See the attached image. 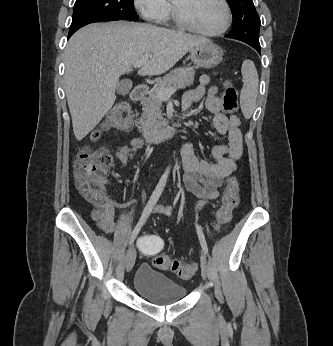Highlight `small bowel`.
<instances>
[{"label":"small bowel","instance_id":"c3829d8e","mask_svg":"<svg viewBox=\"0 0 333 346\" xmlns=\"http://www.w3.org/2000/svg\"><path fill=\"white\" fill-rule=\"evenodd\" d=\"M209 82L210 78L202 75L199 85L187 90L182 97V107L186 111L206 95V107L213 114V125L220 135L228 139L227 144H217L212 147V162L197 157L191 142L182 144L183 182L185 188L200 199L197 210L219 197V188L224 179L235 170V162L241 157L243 148L240 118L237 115L226 116L222 113L221 100L217 96L218 89L216 86L207 89ZM143 147L144 141L137 138L130 145L119 146L116 158L125 168ZM173 211L174 208L170 206L154 207V212L162 215H169ZM92 219L102 231L112 234L115 231L113 201L107 200L93 210Z\"/></svg>","mask_w":333,"mask_h":346}]
</instances>
